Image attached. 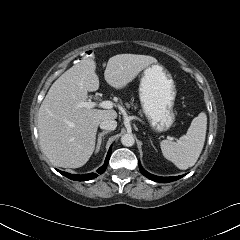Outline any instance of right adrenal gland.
<instances>
[{
  "mask_svg": "<svg viewBox=\"0 0 240 240\" xmlns=\"http://www.w3.org/2000/svg\"><path fill=\"white\" fill-rule=\"evenodd\" d=\"M108 133V131H103L101 133H99L98 135V142H97V147H96V153L99 152L100 147H101V143H102V137L104 135H106Z\"/></svg>",
  "mask_w": 240,
  "mask_h": 240,
  "instance_id": "2a0ac1e0",
  "label": "right adrenal gland"
}]
</instances>
